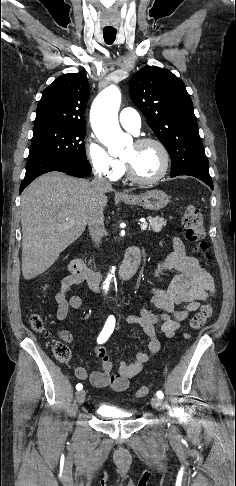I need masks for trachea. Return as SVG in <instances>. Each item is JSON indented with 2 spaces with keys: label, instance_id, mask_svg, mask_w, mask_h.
Returning <instances> with one entry per match:
<instances>
[{
  "label": "trachea",
  "instance_id": "obj_1",
  "mask_svg": "<svg viewBox=\"0 0 236 486\" xmlns=\"http://www.w3.org/2000/svg\"><path fill=\"white\" fill-rule=\"evenodd\" d=\"M116 30L115 29H103V37L107 44H112L116 39Z\"/></svg>",
  "mask_w": 236,
  "mask_h": 486
}]
</instances>
